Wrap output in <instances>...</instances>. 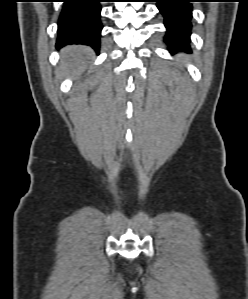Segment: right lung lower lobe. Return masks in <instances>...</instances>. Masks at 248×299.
Masks as SVG:
<instances>
[{"label":"right lung lower lobe","instance_id":"obj_1","mask_svg":"<svg viewBox=\"0 0 248 299\" xmlns=\"http://www.w3.org/2000/svg\"><path fill=\"white\" fill-rule=\"evenodd\" d=\"M58 20L56 47L84 44L96 51L100 48L102 0H63Z\"/></svg>","mask_w":248,"mask_h":299}]
</instances>
